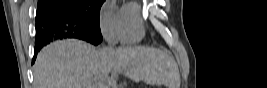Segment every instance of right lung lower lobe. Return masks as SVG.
Here are the masks:
<instances>
[{"label":"right lung lower lobe","mask_w":267,"mask_h":88,"mask_svg":"<svg viewBox=\"0 0 267 88\" xmlns=\"http://www.w3.org/2000/svg\"><path fill=\"white\" fill-rule=\"evenodd\" d=\"M57 38L83 39L94 45H98L102 41L100 32L89 29L85 24L76 22L58 11L39 7L36 15L35 54L43 46ZM35 58L36 55L33 62Z\"/></svg>","instance_id":"obj_1"}]
</instances>
